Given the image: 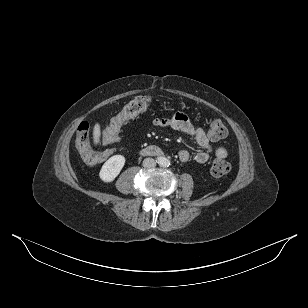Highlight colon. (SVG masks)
I'll use <instances>...</instances> for the list:
<instances>
[{"mask_svg": "<svg viewBox=\"0 0 308 308\" xmlns=\"http://www.w3.org/2000/svg\"><path fill=\"white\" fill-rule=\"evenodd\" d=\"M152 105V98L150 96H138L125 105L122 112L105 124L102 129L101 138L104 143H114L118 141L120 136V128L128 120L145 112ZM89 123L83 121L79 124L76 132L75 145L81 159L88 165H95L100 161H107L108 158L114 157L113 149H106L105 152H100L95 149L90 141ZM208 137L212 141H219L227 137L228 129L220 120H212L210 122ZM231 169V165L223 158L213 160L211 164V174L215 177L226 175Z\"/></svg>", "mask_w": 308, "mask_h": 308, "instance_id": "1", "label": "colon"}]
</instances>
